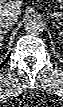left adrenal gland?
Here are the masks:
<instances>
[{
    "label": "left adrenal gland",
    "mask_w": 63,
    "mask_h": 107,
    "mask_svg": "<svg viewBox=\"0 0 63 107\" xmlns=\"http://www.w3.org/2000/svg\"><path fill=\"white\" fill-rule=\"evenodd\" d=\"M53 24L56 26V28L59 30V36H62L63 32L60 30V26L53 22Z\"/></svg>",
    "instance_id": "obj_1"
}]
</instances>
